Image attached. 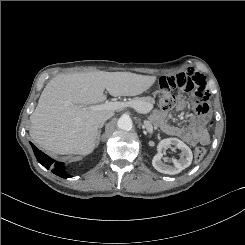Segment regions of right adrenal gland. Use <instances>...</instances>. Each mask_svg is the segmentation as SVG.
Returning <instances> with one entry per match:
<instances>
[{
    "instance_id": "1",
    "label": "right adrenal gland",
    "mask_w": 245,
    "mask_h": 245,
    "mask_svg": "<svg viewBox=\"0 0 245 245\" xmlns=\"http://www.w3.org/2000/svg\"><path fill=\"white\" fill-rule=\"evenodd\" d=\"M103 127V124L100 126V130L98 131V136H97V139H96V145L99 144V141H100V135H101V128Z\"/></svg>"
}]
</instances>
